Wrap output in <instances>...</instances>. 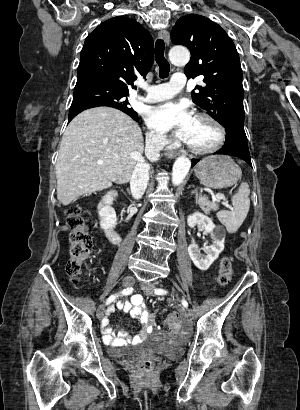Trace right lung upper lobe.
Masks as SVG:
<instances>
[{
  "instance_id": "cb5924a9",
  "label": "right lung upper lobe",
  "mask_w": 300,
  "mask_h": 410,
  "mask_svg": "<svg viewBox=\"0 0 300 410\" xmlns=\"http://www.w3.org/2000/svg\"><path fill=\"white\" fill-rule=\"evenodd\" d=\"M153 39L133 19L123 16L100 24L85 40L77 83H99L129 93L136 74L143 77L153 64Z\"/></svg>"
}]
</instances>
